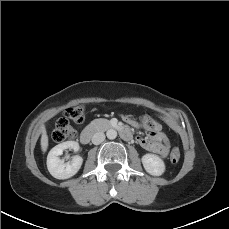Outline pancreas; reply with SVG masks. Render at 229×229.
Wrapping results in <instances>:
<instances>
[{"label":"pancreas","instance_id":"pancreas-1","mask_svg":"<svg viewBox=\"0 0 229 229\" xmlns=\"http://www.w3.org/2000/svg\"><path fill=\"white\" fill-rule=\"evenodd\" d=\"M91 125L97 130H105L110 127V121L103 118L95 119L91 122Z\"/></svg>","mask_w":229,"mask_h":229}]
</instances>
